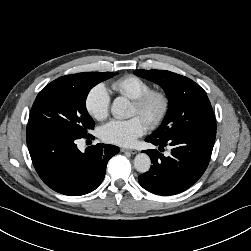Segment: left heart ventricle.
Instances as JSON below:
<instances>
[{
	"label": "left heart ventricle",
	"mask_w": 251,
	"mask_h": 251,
	"mask_svg": "<svg viewBox=\"0 0 251 251\" xmlns=\"http://www.w3.org/2000/svg\"><path fill=\"white\" fill-rule=\"evenodd\" d=\"M132 114L133 115H139L141 118H143L146 121L145 116L141 115L137 109V107L133 104V108H132Z\"/></svg>",
	"instance_id": "obj_1"
}]
</instances>
